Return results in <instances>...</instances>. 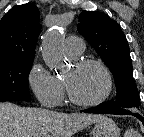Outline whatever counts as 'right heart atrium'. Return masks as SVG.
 Returning <instances> with one entry per match:
<instances>
[{
    "mask_svg": "<svg viewBox=\"0 0 144 137\" xmlns=\"http://www.w3.org/2000/svg\"><path fill=\"white\" fill-rule=\"evenodd\" d=\"M27 83L39 101L45 107H58L64 99L62 81L52 74L41 62L35 61L27 74Z\"/></svg>",
    "mask_w": 144,
    "mask_h": 137,
    "instance_id": "obj_1",
    "label": "right heart atrium"
}]
</instances>
